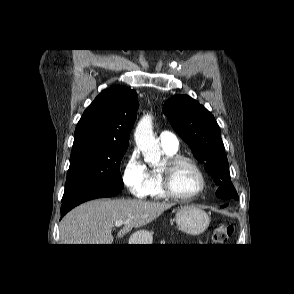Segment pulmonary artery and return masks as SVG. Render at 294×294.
<instances>
[{
    "mask_svg": "<svg viewBox=\"0 0 294 294\" xmlns=\"http://www.w3.org/2000/svg\"><path fill=\"white\" fill-rule=\"evenodd\" d=\"M159 141L162 148H165L170 151L178 150L179 148V142L176 136L169 132V131H163L159 135Z\"/></svg>",
    "mask_w": 294,
    "mask_h": 294,
    "instance_id": "e3ab8cb5",
    "label": "pulmonary artery"
}]
</instances>
